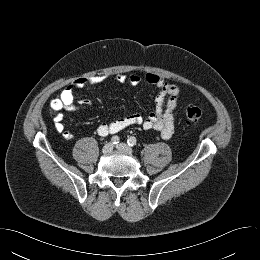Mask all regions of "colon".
Returning <instances> with one entry per match:
<instances>
[{
    "mask_svg": "<svg viewBox=\"0 0 260 260\" xmlns=\"http://www.w3.org/2000/svg\"><path fill=\"white\" fill-rule=\"evenodd\" d=\"M51 105H52V108L55 110L62 108V103L59 100H53ZM185 116H186V122L188 125L196 126L202 118V111L197 106L189 105L186 108Z\"/></svg>",
    "mask_w": 260,
    "mask_h": 260,
    "instance_id": "1",
    "label": "colon"
}]
</instances>
